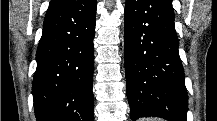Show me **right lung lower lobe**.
Segmentation results:
<instances>
[{
  "label": "right lung lower lobe",
  "instance_id": "obj_1",
  "mask_svg": "<svg viewBox=\"0 0 217 121\" xmlns=\"http://www.w3.org/2000/svg\"><path fill=\"white\" fill-rule=\"evenodd\" d=\"M96 0L50 2L32 94L37 121H93Z\"/></svg>",
  "mask_w": 217,
  "mask_h": 121
}]
</instances>
